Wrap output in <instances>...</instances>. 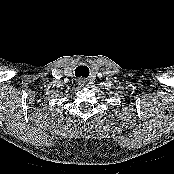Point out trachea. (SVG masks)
<instances>
[{
	"mask_svg": "<svg viewBox=\"0 0 174 174\" xmlns=\"http://www.w3.org/2000/svg\"><path fill=\"white\" fill-rule=\"evenodd\" d=\"M75 76L77 78L83 77L86 78L89 76V68L85 65H80L75 69Z\"/></svg>",
	"mask_w": 174,
	"mask_h": 174,
	"instance_id": "3493384b",
	"label": "trachea"
}]
</instances>
